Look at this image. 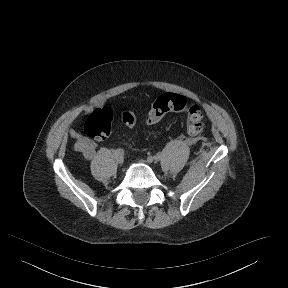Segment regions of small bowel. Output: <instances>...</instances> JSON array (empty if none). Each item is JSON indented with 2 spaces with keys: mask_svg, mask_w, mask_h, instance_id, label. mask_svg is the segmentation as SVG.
I'll use <instances>...</instances> for the list:
<instances>
[{
  "mask_svg": "<svg viewBox=\"0 0 288 288\" xmlns=\"http://www.w3.org/2000/svg\"><path fill=\"white\" fill-rule=\"evenodd\" d=\"M83 153L84 157L88 160L92 159L95 154V145L92 142H89L86 149L84 151H80Z\"/></svg>",
  "mask_w": 288,
  "mask_h": 288,
  "instance_id": "1",
  "label": "small bowel"
}]
</instances>
